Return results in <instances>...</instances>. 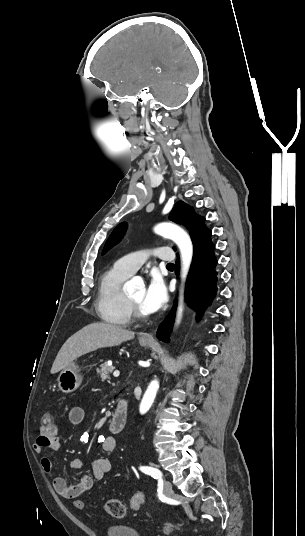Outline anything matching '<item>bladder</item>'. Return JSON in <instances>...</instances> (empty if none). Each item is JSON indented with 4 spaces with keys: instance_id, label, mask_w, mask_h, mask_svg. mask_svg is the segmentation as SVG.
Wrapping results in <instances>:
<instances>
[{
    "instance_id": "bladder-1",
    "label": "bladder",
    "mask_w": 305,
    "mask_h": 536,
    "mask_svg": "<svg viewBox=\"0 0 305 536\" xmlns=\"http://www.w3.org/2000/svg\"><path fill=\"white\" fill-rule=\"evenodd\" d=\"M104 536H141L138 530L130 527L125 522H113L106 524Z\"/></svg>"
}]
</instances>
